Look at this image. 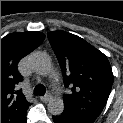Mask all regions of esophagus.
I'll use <instances>...</instances> for the list:
<instances>
[{
  "label": "esophagus",
  "mask_w": 123,
  "mask_h": 123,
  "mask_svg": "<svg viewBox=\"0 0 123 123\" xmlns=\"http://www.w3.org/2000/svg\"><path fill=\"white\" fill-rule=\"evenodd\" d=\"M51 98H52L51 94H50V93H47V94H45L44 96H41V97H40V100L43 101V102H47V101H49Z\"/></svg>",
  "instance_id": "esophagus-1"
}]
</instances>
